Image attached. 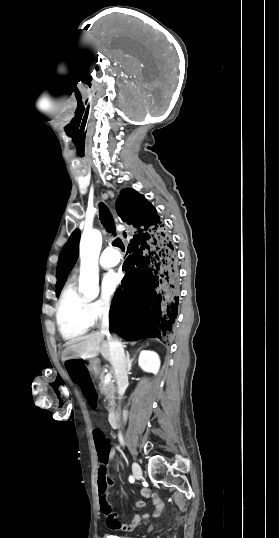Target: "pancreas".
Here are the masks:
<instances>
[{
  "label": "pancreas",
  "mask_w": 279,
  "mask_h": 538,
  "mask_svg": "<svg viewBox=\"0 0 279 538\" xmlns=\"http://www.w3.org/2000/svg\"><path fill=\"white\" fill-rule=\"evenodd\" d=\"M98 388L100 394H104L108 402L107 408L109 412H113V406H115V392H117L114 384H112V382H109V384H105L104 374H100V382L98 384Z\"/></svg>",
  "instance_id": "1"
}]
</instances>
